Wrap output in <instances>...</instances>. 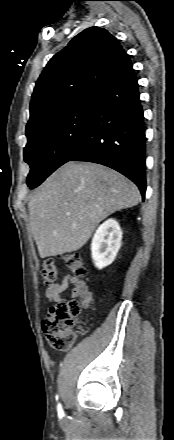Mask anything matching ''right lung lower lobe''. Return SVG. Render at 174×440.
I'll return each instance as SVG.
<instances>
[{
    "label": "right lung lower lobe",
    "mask_w": 174,
    "mask_h": 440,
    "mask_svg": "<svg viewBox=\"0 0 174 440\" xmlns=\"http://www.w3.org/2000/svg\"><path fill=\"white\" fill-rule=\"evenodd\" d=\"M86 133L67 158L108 166L146 191V137L137 77L131 68L94 93Z\"/></svg>",
    "instance_id": "1"
}]
</instances>
